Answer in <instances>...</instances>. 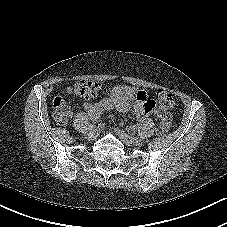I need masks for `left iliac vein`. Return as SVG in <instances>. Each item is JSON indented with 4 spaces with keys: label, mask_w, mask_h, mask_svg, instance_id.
I'll return each mask as SVG.
<instances>
[{
    "label": "left iliac vein",
    "mask_w": 227,
    "mask_h": 227,
    "mask_svg": "<svg viewBox=\"0 0 227 227\" xmlns=\"http://www.w3.org/2000/svg\"><path fill=\"white\" fill-rule=\"evenodd\" d=\"M119 138L126 144V145H139L141 141H139L138 137H134L131 134L125 131L118 132Z\"/></svg>",
    "instance_id": "1"
}]
</instances>
